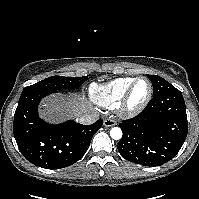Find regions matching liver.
Returning a JSON list of instances; mask_svg holds the SVG:
<instances>
[{
    "instance_id": "liver-1",
    "label": "liver",
    "mask_w": 199,
    "mask_h": 199,
    "mask_svg": "<svg viewBox=\"0 0 199 199\" xmlns=\"http://www.w3.org/2000/svg\"><path fill=\"white\" fill-rule=\"evenodd\" d=\"M92 111L91 105L84 97L72 95L68 98L53 95L46 98L40 106L41 117L52 122H60L67 118H79Z\"/></svg>"
}]
</instances>
